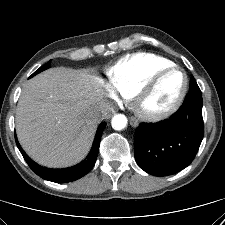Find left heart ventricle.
Segmentation results:
<instances>
[{"label": "left heart ventricle", "mask_w": 225, "mask_h": 225, "mask_svg": "<svg viewBox=\"0 0 225 225\" xmlns=\"http://www.w3.org/2000/svg\"><path fill=\"white\" fill-rule=\"evenodd\" d=\"M182 76L178 72L165 76L144 101V108L150 111L160 110L171 103L181 85Z\"/></svg>", "instance_id": "left-heart-ventricle-1"}]
</instances>
